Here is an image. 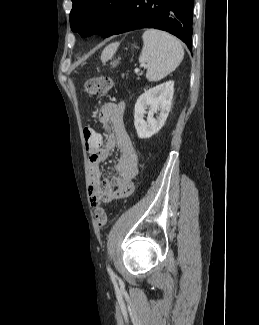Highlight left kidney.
I'll list each match as a JSON object with an SVG mask.
<instances>
[{
    "label": "left kidney",
    "mask_w": 259,
    "mask_h": 325,
    "mask_svg": "<svg viewBox=\"0 0 259 325\" xmlns=\"http://www.w3.org/2000/svg\"><path fill=\"white\" fill-rule=\"evenodd\" d=\"M174 82L168 81L140 95L134 109V126L139 138H150L164 125L171 108ZM149 107V111L146 109ZM159 116L154 118V114ZM148 114L147 121L144 115Z\"/></svg>",
    "instance_id": "obj_1"
}]
</instances>
